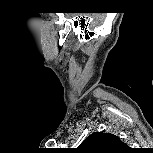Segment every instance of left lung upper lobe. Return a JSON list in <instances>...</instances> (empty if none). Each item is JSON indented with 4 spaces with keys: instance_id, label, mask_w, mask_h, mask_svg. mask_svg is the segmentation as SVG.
I'll list each match as a JSON object with an SVG mask.
<instances>
[{
    "instance_id": "left-lung-upper-lobe-1",
    "label": "left lung upper lobe",
    "mask_w": 153,
    "mask_h": 153,
    "mask_svg": "<svg viewBox=\"0 0 153 153\" xmlns=\"http://www.w3.org/2000/svg\"><path fill=\"white\" fill-rule=\"evenodd\" d=\"M115 135L96 132L88 136L78 147L83 153H114L125 148Z\"/></svg>"
}]
</instances>
